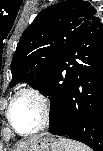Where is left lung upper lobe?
<instances>
[{
	"label": "left lung upper lobe",
	"instance_id": "1",
	"mask_svg": "<svg viewBox=\"0 0 103 151\" xmlns=\"http://www.w3.org/2000/svg\"><path fill=\"white\" fill-rule=\"evenodd\" d=\"M96 12L83 0H66L42 10L17 45L10 86L25 81L40 89L79 36L91 25L102 24Z\"/></svg>",
	"mask_w": 103,
	"mask_h": 151
}]
</instances>
